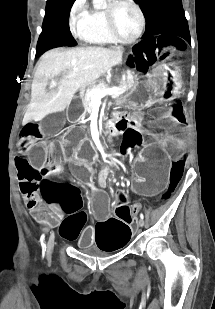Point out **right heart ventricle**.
I'll return each instance as SVG.
<instances>
[{
	"label": "right heart ventricle",
	"mask_w": 215,
	"mask_h": 309,
	"mask_svg": "<svg viewBox=\"0 0 215 309\" xmlns=\"http://www.w3.org/2000/svg\"><path fill=\"white\" fill-rule=\"evenodd\" d=\"M82 24V32L90 42H110L111 37L106 23H103L102 14H90L89 19H83Z\"/></svg>",
	"instance_id": "1"
}]
</instances>
